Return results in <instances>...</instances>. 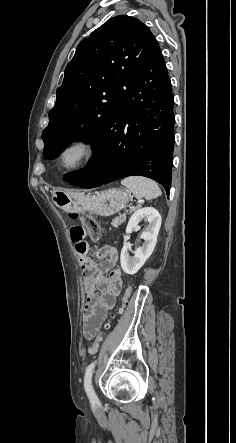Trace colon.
<instances>
[{
    "mask_svg": "<svg viewBox=\"0 0 236 443\" xmlns=\"http://www.w3.org/2000/svg\"><path fill=\"white\" fill-rule=\"evenodd\" d=\"M70 217L75 220H80L81 225L74 226L71 231V237L73 240L80 242L77 244V249L81 252L86 251V244L84 242L85 237H89L91 239H97L100 234V229L97 221L91 215H78L76 213H70ZM129 289L127 290L124 300L128 296ZM113 317V316H112ZM110 327V321H107L104 325V329H108ZM103 341V332H101L96 339L93 341L91 346L88 349L90 355H95L99 352L101 344Z\"/></svg>",
    "mask_w": 236,
    "mask_h": 443,
    "instance_id": "colon-1",
    "label": "colon"
}]
</instances>
